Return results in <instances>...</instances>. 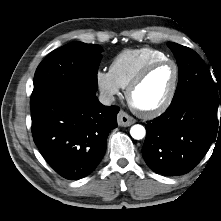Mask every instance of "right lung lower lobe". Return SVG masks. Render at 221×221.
Instances as JSON below:
<instances>
[{"mask_svg": "<svg viewBox=\"0 0 221 221\" xmlns=\"http://www.w3.org/2000/svg\"><path fill=\"white\" fill-rule=\"evenodd\" d=\"M31 110L34 143L52 169L68 180L95 170L119 112L116 106L102 105L96 90L74 83L50 91Z\"/></svg>", "mask_w": 221, "mask_h": 221, "instance_id": "98d812e1", "label": "right lung lower lobe"}]
</instances>
